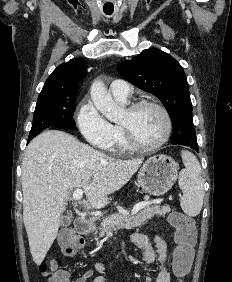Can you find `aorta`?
Listing matches in <instances>:
<instances>
[{"mask_svg": "<svg viewBox=\"0 0 232 282\" xmlns=\"http://www.w3.org/2000/svg\"><path fill=\"white\" fill-rule=\"evenodd\" d=\"M91 99L95 107L111 122H117L121 119L123 109L118 106L112 96L108 93L104 83L97 79L90 88Z\"/></svg>", "mask_w": 232, "mask_h": 282, "instance_id": "obj_1", "label": "aorta"}]
</instances>
